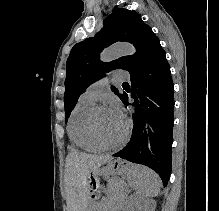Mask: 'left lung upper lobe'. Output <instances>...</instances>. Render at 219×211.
<instances>
[{"label": "left lung upper lobe", "instance_id": "obj_1", "mask_svg": "<svg viewBox=\"0 0 219 211\" xmlns=\"http://www.w3.org/2000/svg\"><path fill=\"white\" fill-rule=\"evenodd\" d=\"M124 41L132 43L136 53L132 56H123L110 63L99 60L100 52L115 42ZM162 47L158 37L150 26L145 24L140 15L127 9H115L104 20L103 28L91 38L77 43L71 50L67 59V73L65 80V122L75 107L79 96L92 83L103 77L104 71L123 69L130 74L140 69L146 62L154 57ZM112 90L121 99L115 87Z\"/></svg>", "mask_w": 219, "mask_h": 211}]
</instances>
